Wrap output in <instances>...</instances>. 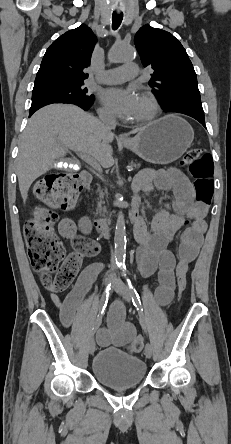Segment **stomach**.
Returning <instances> with one entry per match:
<instances>
[{
    "label": "stomach",
    "mask_w": 231,
    "mask_h": 444,
    "mask_svg": "<svg viewBox=\"0 0 231 444\" xmlns=\"http://www.w3.org/2000/svg\"><path fill=\"white\" fill-rule=\"evenodd\" d=\"M193 139L188 122L170 114L143 127L124 146L148 162L169 164L186 152Z\"/></svg>",
    "instance_id": "1"
}]
</instances>
